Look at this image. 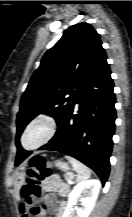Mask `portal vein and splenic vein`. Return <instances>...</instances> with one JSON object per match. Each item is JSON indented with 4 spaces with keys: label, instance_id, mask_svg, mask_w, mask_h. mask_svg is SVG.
Masks as SVG:
<instances>
[{
    "label": "portal vein and splenic vein",
    "instance_id": "18ae733b",
    "mask_svg": "<svg viewBox=\"0 0 132 217\" xmlns=\"http://www.w3.org/2000/svg\"><path fill=\"white\" fill-rule=\"evenodd\" d=\"M68 183H70V184H71V183H72V181H71V180H68Z\"/></svg>",
    "mask_w": 132,
    "mask_h": 217
}]
</instances>
